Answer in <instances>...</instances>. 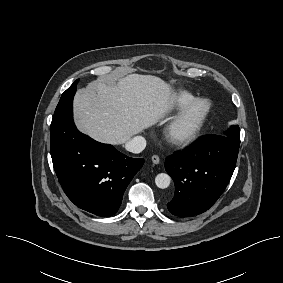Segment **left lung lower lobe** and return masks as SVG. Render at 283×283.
I'll return each instance as SVG.
<instances>
[{"mask_svg":"<svg viewBox=\"0 0 283 283\" xmlns=\"http://www.w3.org/2000/svg\"><path fill=\"white\" fill-rule=\"evenodd\" d=\"M240 141L209 134L189 148L166 158L165 169L175 183L167 203L176 216L187 217L208 210L226 188L235 169Z\"/></svg>","mask_w":283,"mask_h":283,"instance_id":"left-lung-lower-lobe-1","label":"left lung lower lobe"}]
</instances>
